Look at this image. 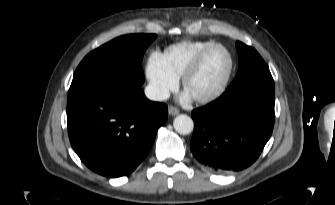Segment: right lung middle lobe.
<instances>
[{"instance_id":"right-lung-middle-lobe-1","label":"right lung middle lobe","mask_w":335,"mask_h":205,"mask_svg":"<svg viewBox=\"0 0 335 205\" xmlns=\"http://www.w3.org/2000/svg\"><path fill=\"white\" fill-rule=\"evenodd\" d=\"M155 38L124 35L90 52L76 69L68 95L91 88H139L144 83L142 57Z\"/></svg>"}]
</instances>
